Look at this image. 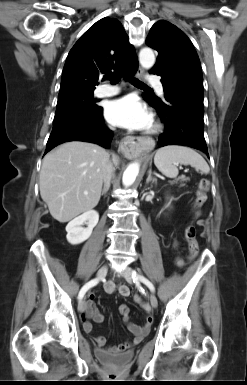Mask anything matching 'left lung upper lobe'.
<instances>
[{"label": "left lung upper lobe", "mask_w": 247, "mask_h": 385, "mask_svg": "<svg viewBox=\"0 0 247 385\" xmlns=\"http://www.w3.org/2000/svg\"><path fill=\"white\" fill-rule=\"evenodd\" d=\"M147 45L158 51L151 72H160L175 90L203 102V77L199 57L189 38L175 25L161 20L155 23L148 35ZM143 98L152 104L163 103L149 94Z\"/></svg>", "instance_id": "1"}]
</instances>
